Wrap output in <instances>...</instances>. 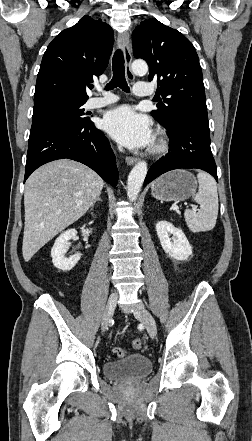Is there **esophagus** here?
Segmentation results:
<instances>
[{"instance_id": "esophagus-1", "label": "esophagus", "mask_w": 252, "mask_h": 441, "mask_svg": "<svg viewBox=\"0 0 252 441\" xmlns=\"http://www.w3.org/2000/svg\"><path fill=\"white\" fill-rule=\"evenodd\" d=\"M118 44L120 45V47L123 50L127 77L130 80H134L135 76L131 71L132 54H131V48H130V40H129V35L127 32H123L118 35ZM137 161H138L137 157H132V156L126 157V163L129 166L135 164Z\"/></svg>"}]
</instances>
